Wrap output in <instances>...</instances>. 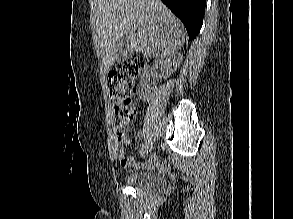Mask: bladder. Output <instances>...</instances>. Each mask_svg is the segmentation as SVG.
I'll list each match as a JSON object with an SVG mask.
<instances>
[{"label": "bladder", "mask_w": 293, "mask_h": 219, "mask_svg": "<svg viewBox=\"0 0 293 219\" xmlns=\"http://www.w3.org/2000/svg\"><path fill=\"white\" fill-rule=\"evenodd\" d=\"M124 182L135 189L157 191L165 185L162 174L153 170L134 171L124 177Z\"/></svg>", "instance_id": "31cf9c89"}]
</instances>
